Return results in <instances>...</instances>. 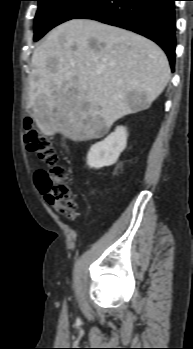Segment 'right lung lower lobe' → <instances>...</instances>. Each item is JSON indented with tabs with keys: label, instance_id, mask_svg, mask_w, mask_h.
Segmentation results:
<instances>
[{
	"label": "right lung lower lobe",
	"instance_id": "98d812e1",
	"mask_svg": "<svg viewBox=\"0 0 193 349\" xmlns=\"http://www.w3.org/2000/svg\"><path fill=\"white\" fill-rule=\"evenodd\" d=\"M175 0H97L75 19H93L143 35L175 62Z\"/></svg>",
	"mask_w": 193,
	"mask_h": 349
}]
</instances>
